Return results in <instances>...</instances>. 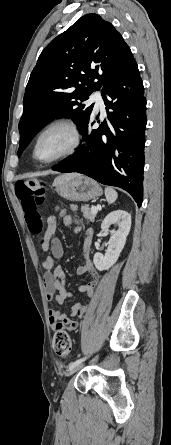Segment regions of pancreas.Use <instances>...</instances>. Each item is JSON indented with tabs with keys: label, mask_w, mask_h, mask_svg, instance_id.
<instances>
[{
	"label": "pancreas",
	"mask_w": 171,
	"mask_h": 445,
	"mask_svg": "<svg viewBox=\"0 0 171 445\" xmlns=\"http://www.w3.org/2000/svg\"><path fill=\"white\" fill-rule=\"evenodd\" d=\"M82 213L83 216L88 219L89 221L93 222L95 219L96 214H93L90 210V208L88 207V205H83L82 206Z\"/></svg>",
	"instance_id": "1"
}]
</instances>
